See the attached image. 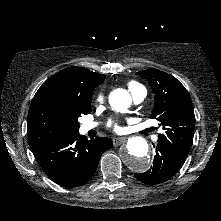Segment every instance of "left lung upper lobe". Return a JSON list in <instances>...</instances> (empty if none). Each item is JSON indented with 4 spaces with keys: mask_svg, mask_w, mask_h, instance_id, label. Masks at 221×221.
<instances>
[{
    "mask_svg": "<svg viewBox=\"0 0 221 221\" xmlns=\"http://www.w3.org/2000/svg\"><path fill=\"white\" fill-rule=\"evenodd\" d=\"M155 94L151 118L157 119L164 133L158 144L165 147L179 162L184 163L193 142L195 115L190 96L173 76L157 69L139 71Z\"/></svg>",
    "mask_w": 221,
    "mask_h": 221,
    "instance_id": "obj_1",
    "label": "left lung upper lobe"
}]
</instances>
